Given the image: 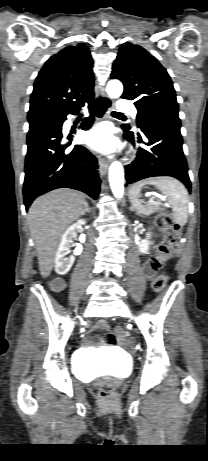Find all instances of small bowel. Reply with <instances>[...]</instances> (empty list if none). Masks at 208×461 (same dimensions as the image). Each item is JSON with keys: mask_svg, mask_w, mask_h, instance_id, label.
<instances>
[{"mask_svg": "<svg viewBox=\"0 0 208 461\" xmlns=\"http://www.w3.org/2000/svg\"><path fill=\"white\" fill-rule=\"evenodd\" d=\"M145 271L147 273V275L149 276H152L155 272V270L153 269H150L148 267V262L145 264ZM54 284L57 286V287H61L63 285V280L62 279H56L54 281ZM108 328V324L102 320V321H99L96 326H95V330H106ZM106 342L108 343V349L110 351H115L117 349V346H118V343H119V336L116 332H111L109 335H107L103 340H100L99 342Z\"/></svg>", "mask_w": 208, "mask_h": 461, "instance_id": "obj_1", "label": "small bowel"}]
</instances>
